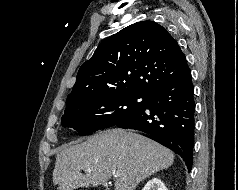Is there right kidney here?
Masks as SVG:
<instances>
[{
    "instance_id": "right-kidney-1",
    "label": "right kidney",
    "mask_w": 238,
    "mask_h": 190,
    "mask_svg": "<svg viewBox=\"0 0 238 190\" xmlns=\"http://www.w3.org/2000/svg\"><path fill=\"white\" fill-rule=\"evenodd\" d=\"M142 190H167V188L160 179L154 178L148 181Z\"/></svg>"
}]
</instances>
